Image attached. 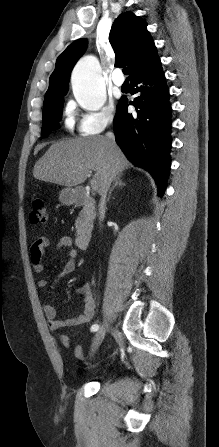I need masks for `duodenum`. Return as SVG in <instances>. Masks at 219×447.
I'll return each instance as SVG.
<instances>
[{"label":"duodenum","instance_id":"410a0bca","mask_svg":"<svg viewBox=\"0 0 219 447\" xmlns=\"http://www.w3.org/2000/svg\"><path fill=\"white\" fill-rule=\"evenodd\" d=\"M74 202L76 205L85 208L87 213H92L95 209V201L94 199L83 191H78L74 195ZM77 246L86 250L89 248L91 243V233L87 227L82 228L78 231L75 238Z\"/></svg>","mask_w":219,"mask_h":447}]
</instances>
